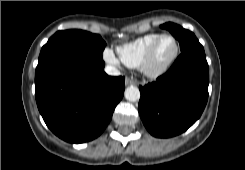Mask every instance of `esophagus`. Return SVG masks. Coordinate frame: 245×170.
<instances>
[{
    "instance_id": "1",
    "label": "esophagus",
    "mask_w": 245,
    "mask_h": 170,
    "mask_svg": "<svg viewBox=\"0 0 245 170\" xmlns=\"http://www.w3.org/2000/svg\"><path fill=\"white\" fill-rule=\"evenodd\" d=\"M135 82L133 81V80H131V79H129V78H126L125 79V85H133Z\"/></svg>"
}]
</instances>
